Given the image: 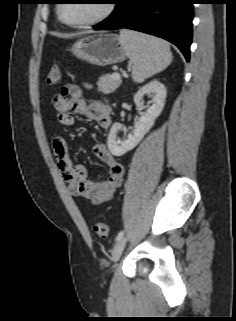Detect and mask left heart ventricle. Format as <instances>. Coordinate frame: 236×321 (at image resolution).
Listing matches in <instances>:
<instances>
[{
  "label": "left heart ventricle",
  "instance_id": "left-heart-ventricle-1",
  "mask_svg": "<svg viewBox=\"0 0 236 321\" xmlns=\"http://www.w3.org/2000/svg\"><path fill=\"white\" fill-rule=\"evenodd\" d=\"M104 0H72L62 8L64 18L70 22H82L98 17L105 9Z\"/></svg>",
  "mask_w": 236,
  "mask_h": 321
}]
</instances>
